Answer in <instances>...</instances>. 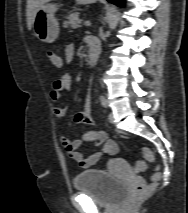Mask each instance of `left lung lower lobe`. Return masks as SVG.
I'll return each instance as SVG.
<instances>
[{"label": "left lung lower lobe", "mask_w": 188, "mask_h": 213, "mask_svg": "<svg viewBox=\"0 0 188 213\" xmlns=\"http://www.w3.org/2000/svg\"><path fill=\"white\" fill-rule=\"evenodd\" d=\"M108 1L113 2L119 6L123 5V3H124V0H108Z\"/></svg>", "instance_id": "1"}]
</instances>
